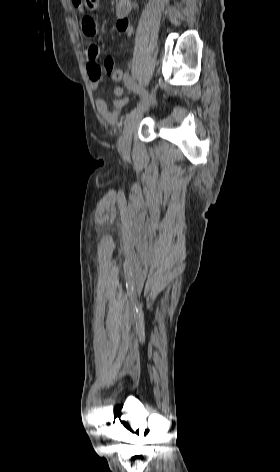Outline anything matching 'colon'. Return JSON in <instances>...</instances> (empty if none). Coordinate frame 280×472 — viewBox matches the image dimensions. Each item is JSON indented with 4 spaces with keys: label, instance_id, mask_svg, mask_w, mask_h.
<instances>
[{
    "label": "colon",
    "instance_id": "colon-1",
    "mask_svg": "<svg viewBox=\"0 0 280 472\" xmlns=\"http://www.w3.org/2000/svg\"><path fill=\"white\" fill-rule=\"evenodd\" d=\"M79 4H82L85 9L92 10L98 5L99 0H74ZM105 70L107 74L115 81H120L122 78V70L115 66L112 59H106L104 62Z\"/></svg>",
    "mask_w": 280,
    "mask_h": 472
}]
</instances>
